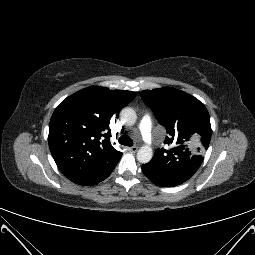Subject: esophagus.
Here are the masks:
<instances>
[{
	"instance_id": "esophagus-1",
	"label": "esophagus",
	"mask_w": 255,
	"mask_h": 255,
	"mask_svg": "<svg viewBox=\"0 0 255 255\" xmlns=\"http://www.w3.org/2000/svg\"><path fill=\"white\" fill-rule=\"evenodd\" d=\"M128 150H129L131 153H136V152L138 151V147H137V146L129 147Z\"/></svg>"
}]
</instances>
